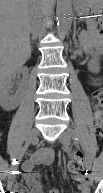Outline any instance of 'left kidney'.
I'll return each mask as SVG.
<instances>
[{
	"instance_id": "5707ae66",
	"label": "left kidney",
	"mask_w": 103,
	"mask_h": 193,
	"mask_svg": "<svg viewBox=\"0 0 103 193\" xmlns=\"http://www.w3.org/2000/svg\"><path fill=\"white\" fill-rule=\"evenodd\" d=\"M92 59L88 62V69L93 73L100 71V59L92 53Z\"/></svg>"
}]
</instances>
